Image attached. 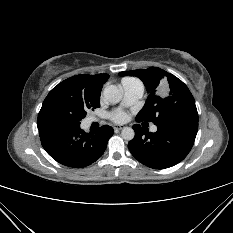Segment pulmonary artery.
I'll return each instance as SVG.
<instances>
[{
	"instance_id": "1",
	"label": "pulmonary artery",
	"mask_w": 233,
	"mask_h": 233,
	"mask_svg": "<svg viewBox=\"0 0 233 233\" xmlns=\"http://www.w3.org/2000/svg\"><path fill=\"white\" fill-rule=\"evenodd\" d=\"M122 89L124 105H131L137 102L142 97L144 92V86L142 82L138 80L122 83ZM151 131L156 132L157 126H151Z\"/></svg>"
}]
</instances>
